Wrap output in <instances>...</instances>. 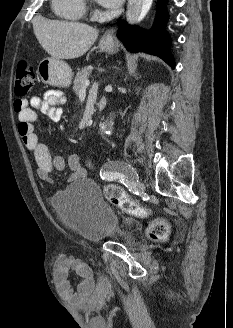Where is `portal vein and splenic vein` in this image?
Returning a JSON list of instances; mask_svg holds the SVG:
<instances>
[{"label":"portal vein and splenic vein","mask_w":233,"mask_h":328,"mask_svg":"<svg viewBox=\"0 0 233 328\" xmlns=\"http://www.w3.org/2000/svg\"><path fill=\"white\" fill-rule=\"evenodd\" d=\"M89 84H90V81L87 79V80H85V82L83 83V86H82V90H85L88 86H89Z\"/></svg>","instance_id":"18ae733b"}]
</instances>
